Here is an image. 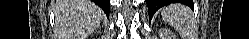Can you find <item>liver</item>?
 Returning a JSON list of instances; mask_svg holds the SVG:
<instances>
[{"mask_svg":"<svg viewBox=\"0 0 249 39\" xmlns=\"http://www.w3.org/2000/svg\"><path fill=\"white\" fill-rule=\"evenodd\" d=\"M76 37H86L101 23L104 13L90 0H74ZM83 39V38H81Z\"/></svg>","mask_w":249,"mask_h":39,"instance_id":"liver-1","label":"liver"}]
</instances>
